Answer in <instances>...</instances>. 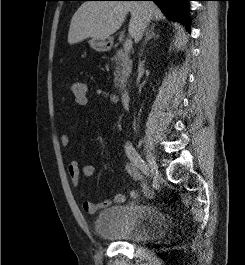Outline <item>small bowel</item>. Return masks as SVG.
I'll return each instance as SVG.
<instances>
[{
	"label": "small bowel",
	"instance_id": "obj_1",
	"mask_svg": "<svg viewBox=\"0 0 245 265\" xmlns=\"http://www.w3.org/2000/svg\"><path fill=\"white\" fill-rule=\"evenodd\" d=\"M94 95L99 98H108L113 102H117V97L114 94H111L105 91L102 88H96L94 90ZM70 138L67 134H62L60 136V144L63 147L68 146ZM95 166L91 163L85 164L83 167H79V164L76 160L72 159L67 164V173L70 179L71 184L74 187L80 188V195L84 197V192L81 188V178L91 177L95 173ZM125 171L136 181H139L142 184L143 190L147 196H151V193L146 185L144 176L141 172L135 167L134 164L129 163L125 166ZM130 197L136 199L138 197V192L136 190L130 191ZM126 201V197L122 193H117L112 199H106L102 202H93L85 199L82 203V208L87 214H96L99 210L107 208L112 204H123Z\"/></svg>",
	"mask_w": 245,
	"mask_h": 265
}]
</instances>
